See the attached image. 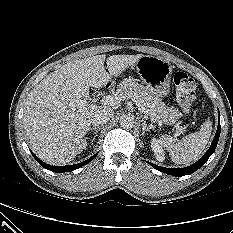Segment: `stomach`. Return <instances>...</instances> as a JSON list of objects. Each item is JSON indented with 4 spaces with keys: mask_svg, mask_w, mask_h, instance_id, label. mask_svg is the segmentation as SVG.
<instances>
[{
    "mask_svg": "<svg viewBox=\"0 0 233 233\" xmlns=\"http://www.w3.org/2000/svg\"><path fill=\"white\" fill-rule=\"evenodd\" d=\"M137 73L146 88L158 98L170 92L173 67L171 63L158 56L143 55L136 62Z\"/></svg>",
    "mask_w": 233,
    "mask_h": 233,
    "instance_id": "1",
    "label": "stomach"
}]
</instances>
